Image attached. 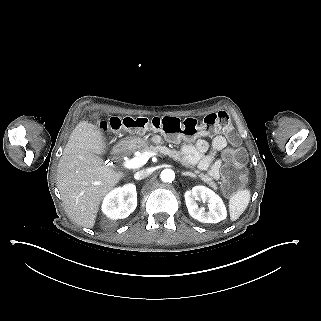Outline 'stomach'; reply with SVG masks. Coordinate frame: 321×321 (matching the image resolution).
Wrapping results in <instances>:
<instances>
[{
    "label": "stomach",
    "mask_w": 321,
    "mask_h": 321,
    "mask_svg": "<svg viewBox=\"0 0 321 321\" xmlns=\"http://www.w3.org/2000/svg\"><path fill=\"white\" fill-rule=\"evenodd\" d=\"M148 139L138 135H132L130 137L122 138L115 146L116 149L123 150L125 146L128 145H137V146H146L148 145Z\"/></svg>",
    "instance_id": "0dacf381"
}]
</instances>
